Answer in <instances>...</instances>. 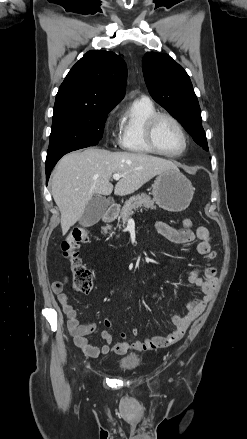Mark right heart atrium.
Masks as SVG:
<instances>
[{"instance_id": "obj_1", "label": "right heart atrium", "mask_w": 247, "mask_h": 439, "mask_svg": "<svg viewBox=\"0 0 247 439\" xmlns=\"http://www.w3.org/2000/svg\"><path fill=\"white\" fill-rule=\"evenodd\" d=\"M112 114H113V111L112 112H110V114H109V116H108V118H107V121H108V123L110 122V120H111V116H112ZM112 133V135H114V133L113 132H111Z\"/></svg>"}]
</instances>
